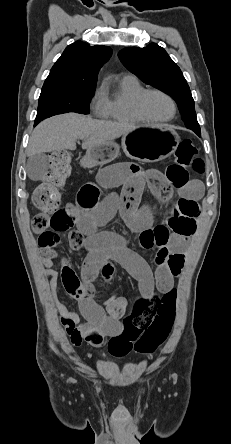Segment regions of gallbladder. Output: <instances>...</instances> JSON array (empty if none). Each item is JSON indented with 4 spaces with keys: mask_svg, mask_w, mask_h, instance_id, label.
<instances>
[{
    "mask_svg": "<svg viewBox=\"0 0 231 444\" xmlns=\"http://www.w3.org/2000/svg\"><path fill=\"white\" fill-rule=\"evenodd\" d=\"M47 169L48 162L45 154L39 153L29 157L26 170L31 180H40L46 174Z\"/></svg>",
    "mask_w": 231,
    "mask_h": 444,
    "instance_id": "gallbladder-1",
    "label": "gallbladder"
}]
</instances>
